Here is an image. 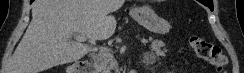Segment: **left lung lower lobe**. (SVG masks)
<instances>
[{"instance_id":"obj_1","label":"left lung lower lobe","mask_w":244,"mask_h":73,"mask_svg":"<svg viewBox=\"0 0 244 73\" xmlns=\"http://www.w3.org/2000/svg\"><path fill=\"white\" fill-rule=\"evenodd\" d=\"M199 2H201L205 6L209 7L210 10H213V2H212V0H199Z\"/></svg>"}]
</instances>
